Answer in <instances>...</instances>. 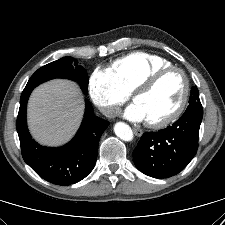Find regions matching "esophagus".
Listing matches in <instances>:
<instances>
[{
  "instance_id": "34e87169",
  "label": "esophagus",
  "mask_w": 225,
  "mask_h": 225,
  "mask_svg": "<svg viewBox=\"0 0 225 225\" xmlns=\"http://www.w3.org/2000/svg\"><path fill=\"white\" fill-rule=\"evenodd\" d=\"M133 131L135 133L136 136L140 137L143 134V131L139 128H133Z\"/></svg>"
}]
</instances>
